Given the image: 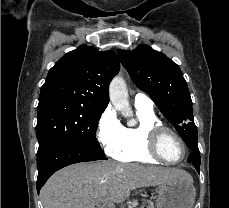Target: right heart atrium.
I'll return each instance as SVG.
<instances>
[{"mask_svg":"<svg viewBox=\"0 0 229 208\" xmlns=\"http://www.w3.org/2000/svg\"><path fill=\"white\" fill-rule=\"evenodd\" d=\"M122 125L111 108H106L98 118L96 138L105 152L113 154L122 144Z\"/></svg>","mask_w":229,"mask_h":208,"instance_id":"1","label":"right heart atrium"}]
</instances>
